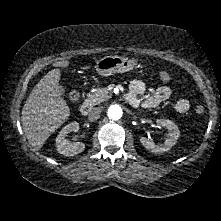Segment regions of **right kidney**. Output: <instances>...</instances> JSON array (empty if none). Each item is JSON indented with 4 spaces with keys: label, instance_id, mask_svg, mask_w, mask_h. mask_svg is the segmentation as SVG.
I'll return each instance as SVG.
<instances>
[{
    "label": "right kidney",
    "instance_id": "1",
    "mask_svg": "<svg viewBox=\"0 0 221 221\" xmlns=\"http://www.w3.org/2000/svg\"><path fill=\"white\" fill-rule=\"evenodd\" d=\"M79 130V123L72 122L66 125L56 138L57 151L65 156H74L85 150V144L82 142L71 143L67 140L70 132H77Z\"/></svg>",
    "mask_w": 221,
    "mask_h": 221
}]
</instances>
